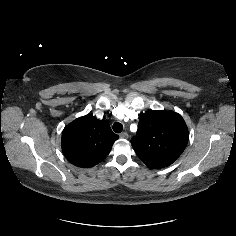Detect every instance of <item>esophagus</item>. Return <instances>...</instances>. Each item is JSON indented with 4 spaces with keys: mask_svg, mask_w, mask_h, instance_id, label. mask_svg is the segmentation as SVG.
I'll use <instances>...</instances> for the list:
<instances>
[{
    "mask_svg": "<svg viewBox=\"0 0 236 236\" xmlns=\"http://www.w3.org/2000/svg\"><path fill=\"white\" fill-rule=\"evenodd\" d=\"M128 137H129V135L126 132H123L120 134V138H122V139H128Z\"/></svg>",
    "mask_w": 236,
    "mask_h": 236,
    "instance_id": "34e87169",
    "label": "esophagus"
}]
</instances>
